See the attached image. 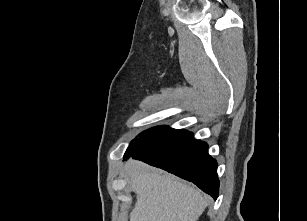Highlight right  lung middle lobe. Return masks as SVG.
<instances>
[{
	"instance_id": "obj_1",
	"label": "right lung middle lobe",
	"mask_w": 307,
	"mask_h": 221,
	"mask_svg": "<svg viewBox=\"0 0 307 221\" xmlns=\"http://www.w3.org/2000/svg\"><path fill=\"white\" fill-rule=\"evenodd\" d=\"M186 132V130H178L169 127L152 128L141 133L138 138H135L126 152L149 149L153 146L171 141Z\"/></svg>"
}]
</instances>
